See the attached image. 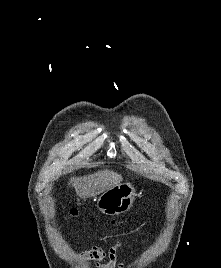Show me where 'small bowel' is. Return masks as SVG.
Wrapping results in <instances>:
<instances>
[{"label": "small bowel", "instance_id": "small-bowel-1", "mask_svg": "<svg viewBox=\"0 0 221 268\" xmlns=\"http://www.w3.org/2000/svg\"><path fill=\"white\" fill-rule=\"evenodd\" d=\"M122 242H117L113 246L105 249L101 246H92L83 250L80 255L89 260V266L93 268H124V264L118 262V250L123 247ZM107 260L102 263L103 260Z\"/></svg>", "mask_w": 221, "mask_h": 268}]
</instances>
